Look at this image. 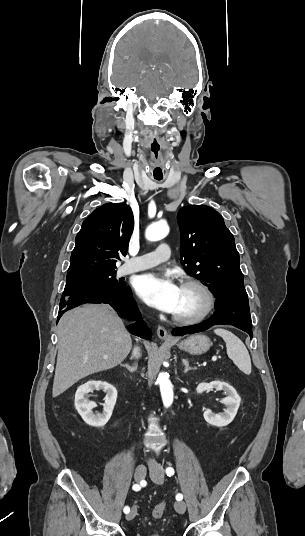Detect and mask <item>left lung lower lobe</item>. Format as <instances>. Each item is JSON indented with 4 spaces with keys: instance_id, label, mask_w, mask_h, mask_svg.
<instances>
[{
    "instance_id": "0a47b994",
    "label": "left lung lower lobe",
    "mask_w": 305,
    "mask_h": 536,
    "mask_svg": "<svg viewBox=\"0 0 305 536\" xmlns=\"http://www.w3.org/2000/svg\"><path fill=\"white\" fill-rule=\"evenodd\" d=\"M229 324L247 332L252 338V322L248 296H231L218 298L214 314L205 322L193 326L179 327L172 331L174 336L193 334L204 331L213 325Z\"/></svg>"
}]
</instances>
